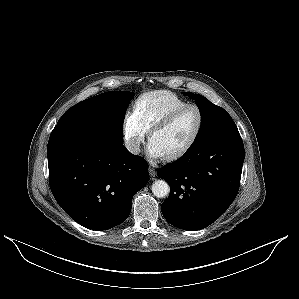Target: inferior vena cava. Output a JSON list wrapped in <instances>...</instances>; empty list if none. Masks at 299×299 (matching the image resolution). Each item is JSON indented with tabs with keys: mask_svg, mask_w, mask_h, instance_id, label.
<instances>
[{
	"mask_svg": "<svg viewBox=\"0 0 299 299\" xmlns=\"http://www.w3.org/2000/svg\"><path fill=\"white\" fill-rule=\"evenodd\" d=\"M125 147L127 148V150L129 152H131L132 154H139L140 153V148H139V144L137 142L134 141H126L125 142Z\"/></svg>",
	"mask_w": 299,
	"mask_h": 299,
	"instance_id": "obj_1",
	"label": "inferior vena cava"
}]
</instances>
